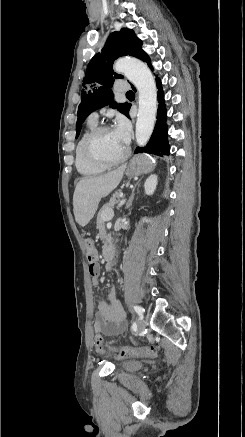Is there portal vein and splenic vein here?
Here are the masks:
<instances>
[{
	"mask_svg": "<svg viewBox=\"0 0 245 437\" xmlns=\"http://www.w3.org/2000/svg\"><path fill=\"white\" fill-rule=\"evenodd\" d=\"M120 197H123V194H121ZM125 201H126V199H122V200L119 202V204H118V208L121 207V206L125 203ZM113 215H114V213L109 214V215L106 217V220H110V219L113 217Z\"/></svg>",
	"mask_w": 245,
	"mask_h": 437,
	"instance_id": "1",
	"label": "portal vein and splenic vein"
}]
</instances>
